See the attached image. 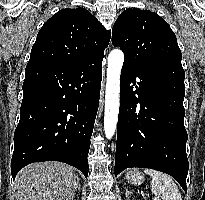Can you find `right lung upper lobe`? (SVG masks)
Masks as SVG:
<instances>
[{
	"label": "right lung upper lobe",
	"instance_id": "right-lung-upper-lobe-1",
	"mask_svg": "<svg viewBox=\"0 0 205 200\" xmlns=\"http://www.w3.org/2000/svg\"><path fill=\"white\" fill-rule=\"evenodd\" d=\"M111 33L86 9H63L43 25L28 65H78L104 57Z\"/></svg>",
	"mask_w": 205,
	"mask_h": 200
}]
</instances>
